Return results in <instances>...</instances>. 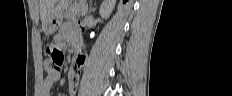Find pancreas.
Here are the masks:
<instances>
[{"label": "pancreas", "mask_w": 232, "mask_h": 96, "mask_svg": "<svg viewBox=\"0 0 232 96\" xmlns=\"http://www.w3.org/2000/svg\"><path fill=\"white\" fill-rule=\"evenodd\" d=\"M82 11H83V6L81 4L79 5H73L70 7L69 10H67L64 13V17L66 19H72V18H76L82 15Z\"/></svg>", "instance_id": "pancreas-1"}]
</instances>
